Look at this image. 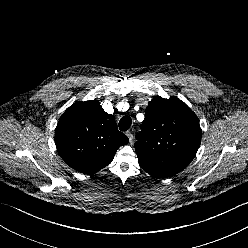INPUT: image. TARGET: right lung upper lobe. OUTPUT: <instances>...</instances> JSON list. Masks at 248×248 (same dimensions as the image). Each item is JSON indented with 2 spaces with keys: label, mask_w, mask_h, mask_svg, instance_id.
Masks as SVG:
<instances>
[{
  "label": "right lung upper lobe",
  "mask_w": 248,
  "mask_h": 248,
  "mask_svg": "<svg viewBox=\"0 0 248 248\" xmlns=\"http://www.w3.org/2000/svg\"><path fill=\"white\" fill-rule=\"evenodd\" d=\"M129 142L117 129L115 119L97 100L77 102L61 116L55 143L62 159L84 174L96 173L114 158L116 150Z\"/></svg>",
  "instance_id": "1"
}]
</instances>
